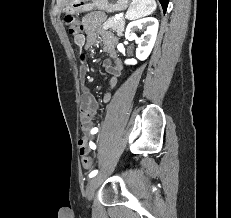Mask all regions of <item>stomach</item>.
I'll list each match as a JSON object with an SVG mask.
<instances>
[{
  "mask_svg": "<svg viewBox=\"0 0 231 218\" xmlns=\"http://www.w3.org/2000/svg\"><path fill=\"white\" fill-rule=\"evenodd\" d=\"M128 3L129 0H66L65 11L72 15L94 9L115 13L125 10Z\"/></svg>",
  "mask_w": 231,
  "mask_h": 218,
  "instance_id": "stomach-1",
  "label": "stomach"
}]
</instances>
